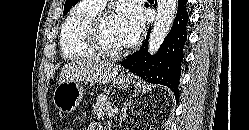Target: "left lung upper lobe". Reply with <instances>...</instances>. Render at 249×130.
<instances>
[{
    "instance_id": "obj_1",
    "label": "left lung upper lobe",
    "mask_w": 249,
    "mask_h": 130,
    "mask_svg": "<svg viewBox=\"0 0 249 130\" xmlns=\"http://www.w3.org/2000/svg\"><path fill=\"white\" fill-rule=\"evenodd\" d=\"M77 2L78 0H66L63 13L66 14ZM145 6H147V4Z\"/></svg>"
}]
</instances>
